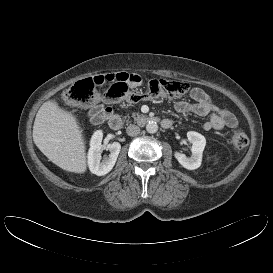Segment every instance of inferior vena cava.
<instances>
[{
  "label": "inferior vena cava",
  "instance_id": "inferior-vena-cava-1",
  "mask_svg": "<svg viewBox=\"0 0 273 273\" xmlns=\"http://www.w3.org/2000/svg\"><path fill=\"white\" fill-rule=\"evenodd\" d=\"M126 132L129 136H136L140 133V128L137 125L131 124L126 128Z\"/></svg>",
  "mask_w": 273,
  "mask_h": 273
}]
</instances>
